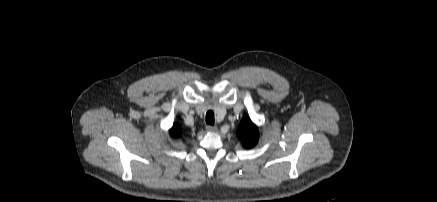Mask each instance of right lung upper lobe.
<instances>
[{
    "instance_id": "obj_1",
    "label": "right lung upper lobe",
    "mask_w": 437,
    "mask_h": 202,
    "mask_svg": "<svg viewBox=\"0 0 437 202\" xmlns=\"http://www.w3.org/2000/svg\"><path fill=\"white\" fill-rule=\"evenodd\" d=\"M170 133L173 136H178L180 134V129L178 125L174 124L173 127L170 129Z\"/></svg>"
}]
</instances>
